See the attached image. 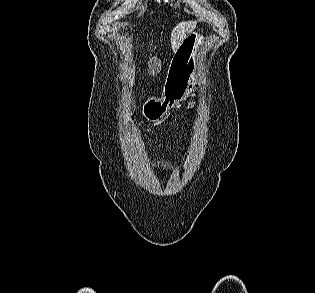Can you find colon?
<instances>
[{
  "label": "colon",
  "mask_w": 315,
  "mask_h": 293,
  "mask_svg": "<svg viewBox=\"0 0 315 293\" xmlns=\"http://www.w3.org/2000/svg\"><path fill=\"white\" fill-rule=\"evenodd\" d=\"M125 121H126L127 124H130V123H131V119H130L129 117H127V118L125 119Z\"/></svg>",
  "instance_id": "5ec220e1"
}]
</instances>
